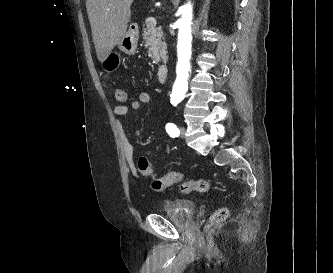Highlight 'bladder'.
Segmentation results:
<instances>
[{
    "label": "bladder",
    "instance_id": "obj_1",
    "mask_svg": "<svg viewBox=\"0 0 333 273\" xmlns=\"http://www.w3.org/2000/svg\"><path fill=\"white\" fill-rule=\"evenodd\" d=\"M195 205L191 200L180 199L170 202L161 213L179 227L191 226L195 220Z\"/></svg>",
    "mask_w": 333,
    "mask_h": 273
}]
</instances>
